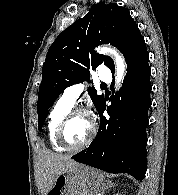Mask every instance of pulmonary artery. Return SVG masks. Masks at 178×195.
Here are the masks:
<instances>
[{"instance_id": "obj_1", "label": "pulmonary artery", "mask_w": 178, "mask_h": 195, "mask_svg": "<svg viewBox=\"0 0 178 195\" xmlns=\"http://www.w3.org/2000/svg\"><path fill=\"white\" fill-rule=\"evenodd\" d=\"M98 77L104 84H109L111 82V74L109 68L106 66L100 67ZM85 88L86 84L84 82L70 85L63 91L61 98L67 103L74 105Z\"/></svg>"}]
</instances>
